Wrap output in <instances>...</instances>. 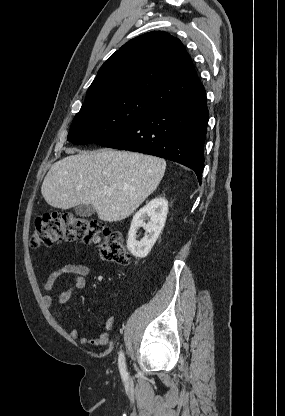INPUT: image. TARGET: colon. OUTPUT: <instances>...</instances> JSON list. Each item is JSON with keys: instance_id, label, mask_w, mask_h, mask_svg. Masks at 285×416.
<instances>
[{"instance_id": "1", "label": "colon", "mask_w": 285, "mask_h": 416, "mask_svg": "<svg viewBox=\"0 0 285 416\" xmlns=\"http://www.w3.org/2000/svg\"><path fill=\"white\" fill-rule=\"evenodd\" d=\"M79 240L97 244L104 259L125 265L130 256L120 232L104 227L98 220L72 214L51 213L35 221L30 239L32 248L49 247L59 241Z\"/></svg>"}]
</instances>
